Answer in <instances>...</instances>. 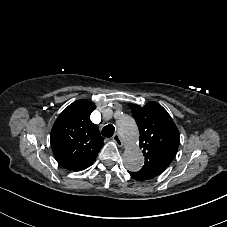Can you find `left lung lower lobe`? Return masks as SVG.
I'll list each match as a JSON object with an SVG mask.
<instances>
[{
  "label": "left lung lower lobe",
  "mask_w": 227,
  "mask_h": 227,
  "mask_svg": "<svg viewBox=\"0 0 227 227\" xmlns=\"http://www.w3.org/2000/svg\"><path fill=\"white\" fill-rule=\"evenodd\" d=\"M129 174H130L134 179H136V180H138V181H143V180H144V179L138 177L134 172H129Z\"/></svg>",
  "instance_id": "left-lung-lower-lobe-1"
}]
</instances>
